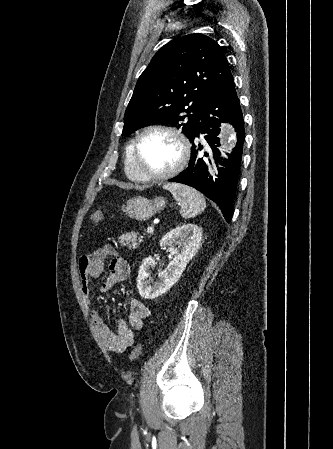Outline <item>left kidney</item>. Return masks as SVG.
I'll return each mask as SVG.
<instances>
[{"label": "left kidney", "mask_w": 333, "mask_h": 449, "mask_svg": "<svg viewBox=\"0 0 333 449\" xmlns=\"http://www.w3.org/2000/svg\"><path fill=\"white\" fill-rule=\"evenodd\" d=\"M202 228L196 224H184L167 233L160 244L172 256L167 268L158 274V280L149 284V269L156 262L152 256L143 260L137 277V288L146 299L156 298L168 291L182 276L188 262L195 256L201 246Z\"/></svg>", "instance_id": "left-kidney-1"}]
</instances>
